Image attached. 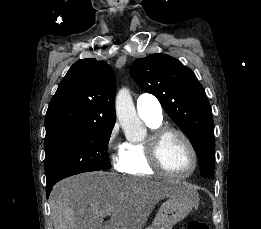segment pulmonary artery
Returning a JSON list of instances; mask_svg holds the SVG:
<instances>
[{
  "instance_id": "obj_1",
  "label": "pulmonary artery",
  "mask_w": 261,
  "mask_h": 229,
  "mask_svg": "<svg viewBox=\"0 0 261 229\" xmlns=\"http://www.w3.org/2000/svg\"><path fill=\"white\" fill-rule=\"evenodd\" d=\"M137 112L141 118L152 121L163 119V108L159 100L147 93H142L137 98Z\"/></svg>"
}]
</instances>
